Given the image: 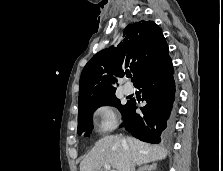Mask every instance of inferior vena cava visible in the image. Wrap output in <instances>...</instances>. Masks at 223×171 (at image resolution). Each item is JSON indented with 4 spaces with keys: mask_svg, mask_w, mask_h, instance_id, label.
I'll use <instances>...</instances> for the list:
<instances>
[{
    "mask_svg": "<svg viewBox=\"0 0 223 171\" xmlns=\"http://www.w3.org/2000/svg\"><path fill=\"white\" fill-rule=\"evenodd\" d=\"M123 142H125V139H123ZM125 171H134V163L129 152L127 153Z\"/></svg>",
    "mask_w": 223,
    "mask_h": 171,
    "instance_id": "1",
    "label": "inferior vena cava"
}]
</instances>
